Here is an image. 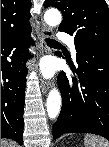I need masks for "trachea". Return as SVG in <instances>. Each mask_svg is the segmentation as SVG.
<instances>
[{"mask_svg": "<svg viewBox=\"0 0 109 147\" xmlns=\"http://www.w3.org/2000/svg\"><path fill=\"white\" fill-rule=\"evenodd\" d=\"M45 41L48 45L59 44L57 41L49 38L45 39Z\"/></svg>", "mask_w": 109, "mask_h": 147, "instance_id": "3493384b", "label": "trachea"}]
</instances>
